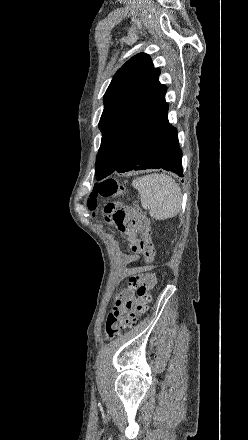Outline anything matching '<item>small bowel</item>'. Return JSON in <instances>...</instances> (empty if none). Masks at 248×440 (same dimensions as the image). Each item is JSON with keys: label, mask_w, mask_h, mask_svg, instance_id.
Masks as SVG:
<instances>
[{"label": "small bowel", "mask_w": 248, "mask_h": 440, "mask_svg": "<svg viewBox=\"0 0 248 440\" xmlns=\"http://www.w3.org/2000/svg\"><path fill=\"white\" fill-rule=\"evenodd\" d=\"M141 231H142V227L137 223H133L131 225L129 231L125 233L129 238L130 247H131L133 254L123 255L121 257V261L124 264L132 263V262L138 260L139 250L137 248V245H138L139 236L141 234ZM142 271H143V269L141 267H131V268L125 269V274L130 275L132 277V276L141 274ZM127 298H131L134 301V297L132 296V289L131 288H129L128 291H124V292L120 293L116 297L115 302H114L115 308L118 310L127 308V305H126Z\"/></svg>", "instance_id": "1"}]
</instances>
